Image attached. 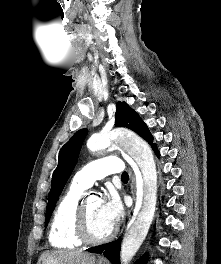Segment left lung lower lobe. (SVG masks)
<instances>
[{
    "label": "left lung lower lobe",
    "instance_id": "obj_1",
    "mask_svg": "<svg viewBox=\"0 0 221 264\" xmlns=\"http://www.w3.org/2000/svg\"><path fill=\"white\" fill-rule=\"evenodd\" d=\"M154 152L159 157V151L154 145L153 147ZM120 248H121V238L116 240L115 242L103 244L100 246H96L93 248H89L87 251L91 253H100L103 252V255L110 260L113 264H120L119 254H120ZM147 256L144 255L142 259H140L135 264H146Z\"/></svg>",
    "mask_w": 221,
    "mask_h": 264
}]
</instances>
